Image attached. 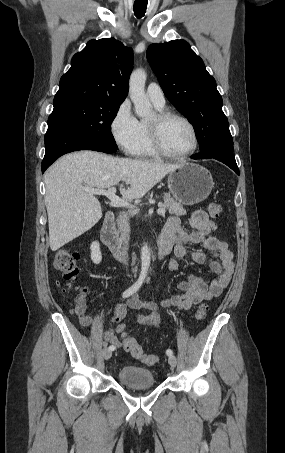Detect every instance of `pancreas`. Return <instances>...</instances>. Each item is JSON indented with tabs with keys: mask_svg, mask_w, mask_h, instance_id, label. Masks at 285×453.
<instances>
[{
	"mask_svg": "<svg viewBox=\"0 0 285 453\" xmlns=\"http://www.w3.org/2000/svg\"><path fill=\"white\" fill-rule=\"evenodd\" d=\"M164 206L168 209L170 214H175L177 216L186 214L183 205L174 200L169 193H164Z\"/></svg>",
	"mask_w": 285,
	"mask_h": 453,
	"instance_id": "cf45deb5",
	"label": "pancreas"
}]
</instances>
